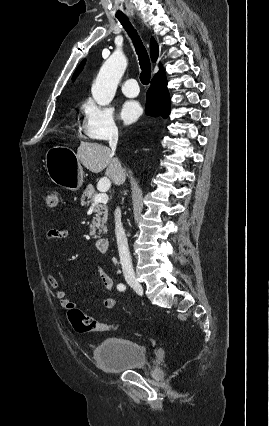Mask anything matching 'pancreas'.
I'll return each mask as SVG.
<instances>
[{"label":"pancreas","mask_w":269,"mask_h":426,"mask_svg":"<svg viewBox=\"0 0 269 426\" xmlns=\"http://www.w3.org/2000/svg\"><path fill=\"white\" fill-rule=\"evenodd\" d=\"M97 195L95 188L92 184H89L84 190L81 197V203L84 206L92 204L95 196ZM95 217H93L92 223L90 225V235L96 238V229L99 230V233L102 231L106 232V222L108 217V209L106 204H97L95 208Z\"/></svg>","instance_id":"pancreas-1"}]
</instances>
